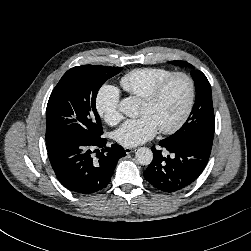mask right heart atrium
I'll use <instances>...</instances> for the list:
<instances>
[{
	"label": "right heart atrium",
	"instance_id": "obj_1",
	"mask_svg": "<svg viewBox=\"0 0 251 251\" xmlns=\"http://www.w3.org/2000/svg\"><path fill=\"white\" fill-rule=\"evenodd\" d=\"M119 102V92L111 85L103 86L96 96L97 112L110 125H115L121 120Z\"/></svg>",
	"mask_w": 251,
	"mask_h": 251
}]
</instances>
